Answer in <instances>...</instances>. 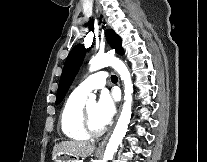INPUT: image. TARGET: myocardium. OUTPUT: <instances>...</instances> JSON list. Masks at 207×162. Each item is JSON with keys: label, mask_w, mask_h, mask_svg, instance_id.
I'll list each match as a JSON object with an SVG mask.
<instances>
[{"label": "myocardium", "mask_w": 207, "mask_h": 162, "mask_svg": "<svg viewBox=\"0 0 207 162\" xmlns=\"http://www.w3.org/2000/svg\"><path fill=\"white\" fill-rule=\"evenodd\" d=\"M81 124L84 132L92 137H98L102 135L105 131V128H95L90 120L88 105L84 104L82 109Z\"/></svg>", "instance_id": "f54148a6"}]
</instances>
